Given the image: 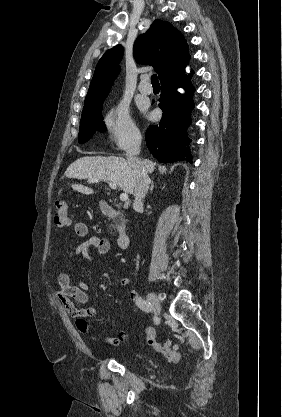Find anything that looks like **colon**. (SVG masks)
<instances>
[{
	"instance_id": "colon-1",
	"label": "colon",
	"mask_w": 282,
	"mask_h": 417,
	"mask_svg": "<svg viewBox=\"0 0 282 417\" xmlns=\"http://www.w3.org/2000/svg\"><path fill=\"white\" fill-rule=\"evenodd\" d=\"M54 221L58 226H67L70 223V208L66 200L58 199L55 202ZM146 341L157 353L162 354L166 360L171 364L180 362V353L177 346L173 345L171 341L160 343L157 340V331L154 327L147 329Z\"/></svg>"
}]
</instances>
